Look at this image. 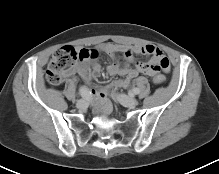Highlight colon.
I'll return each mask as SVG.
<instances>
[{
  "label": "colon",
  "instance_id": "colon-1",
  "mask_svg": "<svg viewBox=\"0 0 219 174\" xmlns=\"http://www.w3.org/2000/svg\"><path fill=\"white\" fill-rule=\"evenodd\" d=\"M97 52H80L72 47H63L56 50L48 64L46 70V79L51 85H58L64 77L72 72L78 64L85 58H94ZM155 85H162L165 82V76L160 74L153 78Z\"/></svg>",
  "mask_w": 219,
  "mask_h": 174
}]
</instances>
